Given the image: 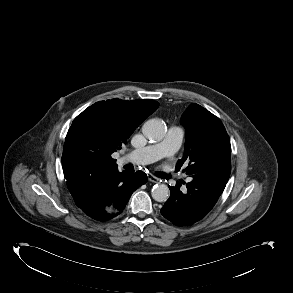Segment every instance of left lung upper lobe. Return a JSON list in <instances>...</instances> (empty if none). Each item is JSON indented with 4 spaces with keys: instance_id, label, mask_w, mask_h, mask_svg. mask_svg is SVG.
Listing matches in <instances>:
<instances>
[{
    "instance_id": "1",
    "label": "left lung upper lobe",
    "mask_w": 293,
    "mask_h": 293,
    "mask_svg": "<svg viewBox=\"0 0 293 293\" xmlns=\"http://www.w3.org/2000/svg\"><path fill=\"white\" fill-rule=\"evenodd\" d=\"M186 128V146L183 158L176 164L192 177H210L227 182L231 172V145L224 125L218 117L198 104H191L181 117Z\"/></svg>"
}]
</instances>
